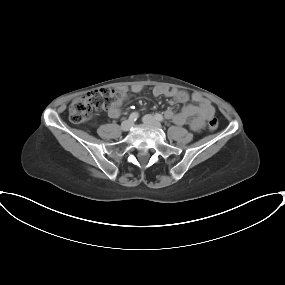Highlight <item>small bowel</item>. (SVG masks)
<instances>
[{"mask_svg": "<svg viewBox=\"0 0 285 285\" xmlns=\"http://www.w3.org/2000/svg\"><path fill=\"white\" fill-rule=\"evenodd\" d=\"M142 89L143 87L140 84H134L130 88H121L120 90L123 93V98L108 109V115L112 118L119 117L121 113L120 106L131 94H139ZM152 93L154 96H166L172 98L178 103H185L190 98L189 94L184 90L169 88L162 85L155 86ZM191 99L195 104L186 105L178 112L168 109L164 112V116L178 125L189 123L191 129L197 131L204 126L207 120L214 117L215 110L211 102L198 92H194L191 95Z\"/></svg>", "mask_w": 285, "mask_h": 285, "instance_id": "obj_1", "label": "small bowel"}]
</instances>
